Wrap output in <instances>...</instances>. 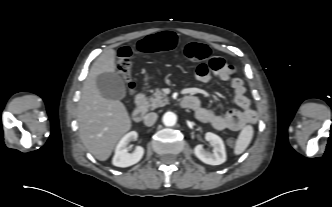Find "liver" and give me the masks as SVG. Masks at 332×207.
<instances>
[{"label":"liver","mask_w":332,"mask_h":207,"mask_svg":"<svg viewBox=\"0 0 332 207\" xmlns=\"http://www.w3.org/2000/svg\"><path fill=\"white\" fill-rule=\"evenodd\" d=\"M115 62L116 51L113 49L104 51L95 60L83 85L77 109L80 139L100 161L110 157L117 142L132 126L123 103L104 98L96 85L98 75L116 71Z\"/></svg>","instance_id":"1"}]
</instances>
